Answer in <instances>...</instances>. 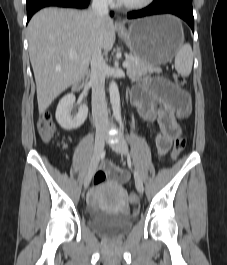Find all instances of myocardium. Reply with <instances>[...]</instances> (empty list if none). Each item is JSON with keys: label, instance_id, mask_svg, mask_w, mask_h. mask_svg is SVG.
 Segmentation results:
<instances>
[{"label": "myocardium", "instance_id": "f54148a6", "mask_svg": "<svg viewBox=\"0 0 227 265\" xmlns=\"http://www.w3.org/2000/svg\"><path fill=\"white\" fill-rule=\"evenodd\" d=\"M154 0H143L139 3L128 4L119 0V5L127 10H141L148 7Z\"/></svg>", "mask_w": 227, "mask_h": 265}]
</instances>
